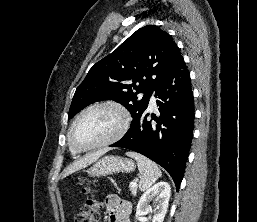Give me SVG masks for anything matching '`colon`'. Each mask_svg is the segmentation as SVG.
<instances>
[{"label":"colon","mask_w":257,"mask_h":222,"mask_svg":"<svg viewBox=\"0 0 257 222\" xmlns=\"http://www.w3.org/2000/svg\"><path fill=\"white\" fill-rule=\"evenodd\" d=\"M75 183L81 185L82 181L80 178H77ZM82 192L88 198L82 210L75 215L73 222H97L99 219L100 202L95 198L90 187L83 186Z\"/></svg>","instance_id":"obj_1"}]
</instances>
